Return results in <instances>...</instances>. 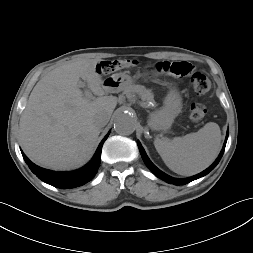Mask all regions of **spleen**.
<instances>
[{"label": "spleen", "instance_id": "obj_1", "mask_svg": "<svg viewBox=\"0 0 253 253\" xmlns=\"http://www.w3.org/2000/svg\"><path fill=\"white\" fill-rule=\"evenodd\" d=\"M154 145L169 169L191 176L206 169L215 160L221 148V131L218 124L209 122L198 132L173 140L156 138Z\"/></svg>", "mask_w": 253, "mask_h": 253}]
</instances>
